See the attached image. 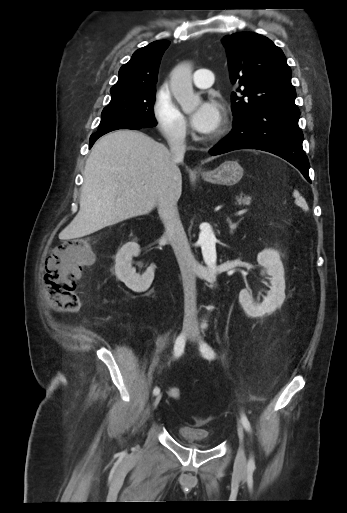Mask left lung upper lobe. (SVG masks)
<instances>
[{
  "instance_id": "1",
  "label": "left lung upper lobe",
  "mask_w": 347,
  "mask_h": 513,
  "mask_svg": "<svg viewBox=\"0 0 347 513\" xmlns=\"http://www.w3.org/2000/svg\"><path fill=\"white\" fill-rule=\"evenodd\" d=\"M228 56L230 78L239 82L240 93H232L234 121L267 106H296L291 69L285 55L271 40L252 32L222 39Z\"/></svg>"
}]
</instances>
